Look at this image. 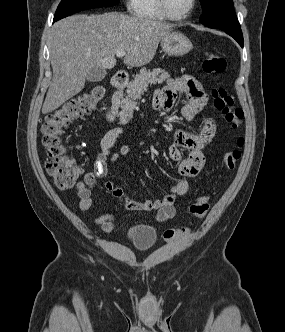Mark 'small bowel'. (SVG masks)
I'll use <instances>...</instances> for the list:
<instances>
[{
	"instance_id": "c3829d8e",
	"label": "small bowel",
	"mask_w": 285,
	"mask_h": 332,
	"mask_svg": "<svg viewBox=\"0 0 285 332\" xmlns=\"http://www.w3.org/2000/svg\"><path fill=\"white\" fill-rule=\"evenodd\" d=\"M178 92L187 97V104L182 108L181 115L186 120H192L208 102V95L202 85L194 77L183 75L170 80L166 87L159 90L153 100V107L156 110H170L175 102ZM125 126L120 125L109 129L100 141V151L94 163V169L87 172L80 180L76 189L79 197V207L88 211L93 207L92 191L97 180L108 174V165L125 157L130 148L122 145L114 151L117 139L125 131ZM216 134V124L211 118L203 120L202 128L197 133L176 130L174 132V143L168 148L169 157L179 162L178 171L180 179L168 186V193L157 200H133L129 198L122 188L115 186L110 180L105 181V188L115 198L122 201L125 208L132 211H156V219L159 222L171 220L176 213L175 200L178 196L187 194L190 189V179L196 176L205 163L203 149L208 145ZM188 155L183 158L182 151ZM101 220V219H100Z\"/></svg>"
}]
</instances>
